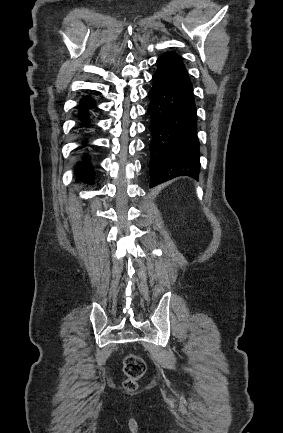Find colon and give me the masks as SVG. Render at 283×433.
I'll return each instance as SVG.
<instances>
[{
    "label": "colon",
    "instance_id": "colon-1",
    "mask_svg": "<svg viewBox=\"0 0 283 433\" xmlns=\"http://www.w3.org/2000/svg\"><path fill=\"white\" fill-rule=\"evenodd\" d=\"M123 369L127 376L124 383L125 389L134 390L137 381L143 376L146 369L143 359L137 355L129 354L124 359Z\"/></svg>",
    "mask_w": 283,
    "mask_h": 433
}]
</instances>
